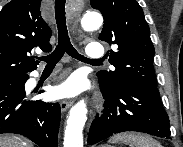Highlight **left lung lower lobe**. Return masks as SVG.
I'll list each match as a JSON object with an SVG mask.
<instances>
[{
    "label": "left lung lower lobe",
    "mask_w": 183,
    "mask_h": 147,
    "mask_svg": "<svg viewBox=\"0 0 183 147\" xmlns=\"http://www.w3.org/2000/svg\"><path fill=\"white\" fill-rule=\"evenodd\" d=\"M105 110L92 122L88 143L95 144L112 134L136 131L158 137L171 135L157 86L125 81L109 90L100 85Z\"/></svg>",
    "instance_id": "0a47b994"
}]
</instances>
